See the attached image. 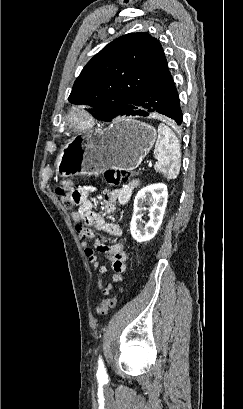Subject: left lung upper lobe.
Wrapping results in <instances>:
<instances>
[{"label": "left lung upper lobe", "mask_w": 243, "mask_h": 409, "mask_svg": "<svg viewBox=\"0 0 243 409\" xmlns=\"http://www.w3.org/2000/svg\"><path fill=\"white\" fill-rule=\"evenodd\" d=\"M168 73L159 41L148 33H129L109 43L87 63L68 100L97 108L99 119L114 116Z\"/></svg>", "instance_id": "1"}]
</instances>
